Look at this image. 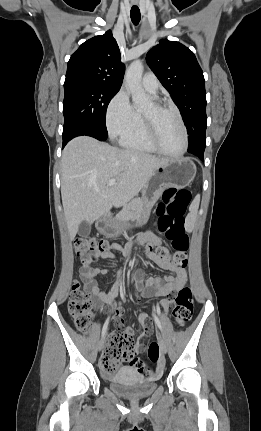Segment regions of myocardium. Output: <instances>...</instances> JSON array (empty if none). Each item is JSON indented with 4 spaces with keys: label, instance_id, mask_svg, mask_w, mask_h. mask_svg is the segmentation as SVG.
<instances>
[{
    "label": "myocardium",
    "instance_id": "1",
    "mask_svg": "<svg viewBox=\"0 0 261 431\" xmlns=\"http://www.w3.org/2000/svg\"><path fill=\"white\" fill-rule=\"evenodd\" d=\"M152 105H153V108L155 111L169 110V111H172L175 113V115L178 119V122L181 126V129H182L184 143H183V148L179 153L170 154V153L166 152L161 147V145L158 141L156 125H155L153 118L151 116L143 113L142 114V120H143L144 127H145V130H146V133H147V136H148L150 142L155 147V149L159 153H161L162 155L167 156V157L172 158V159L181 158L187 152L188 145H189V138H188L187 128H186V125L184 123V120L182 118L180 111L175 106H173L171 104L162 103V102H158V101L153 102Z\"/></svg>",
    "mask_w": 261,
    "mask_h": 431
}]
</instances>
